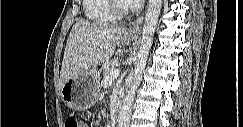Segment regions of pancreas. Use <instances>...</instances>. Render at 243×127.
<instances>
[{
    "label": "pancreas",
    "instance_id": "cf45deb5",
    "mask_svg": "<svg viewBox=\"0 0 243 127\" xmlns=\"http://www.w3.org/2000/svg\"><path fill=\"white\" fill-rule=\"evenodd\" d=\"M117 66V61L113 60L111 62H109L104 68H103V76L104 78L108 77L110 72L112 70H115Z\"/></svg>",
    "mask_w": 243,
    "mask_h": 127
}]
</instances>
